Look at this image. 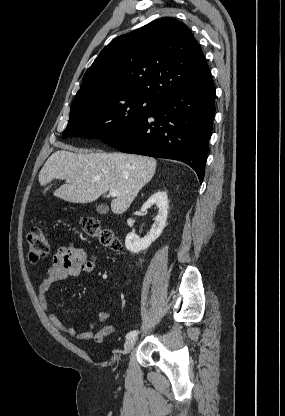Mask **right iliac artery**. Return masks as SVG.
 I'll use <instances>...</instances> for the list:
<instances>
[{
    "mask_svg": "<svg viewBox=\"0 0 285 416\" xmlns=\"http://www.w3.org/2000/svg\"><path fill=\"white\" fill-rule=\"evenodd\" d=\"M139 333L138 330H132L126 335V339L134 338Z\"/></svg>",
    "mask_w": 285,
    "mask_h": 416,
    "instance_id": "right-iliac-artery-1",
    "label": "right iliac artery"
}]
</instances>
